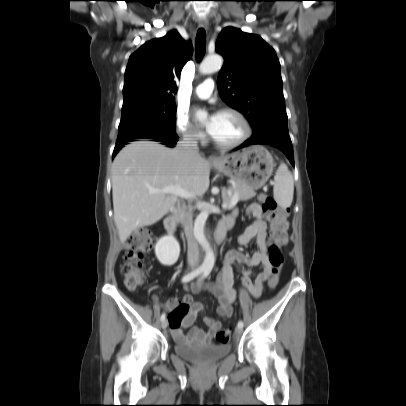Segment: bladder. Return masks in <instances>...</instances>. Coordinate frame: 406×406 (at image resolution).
I'll list each match as a JSON object with an SVG mask.
<instances>
[{"label":"bladder","instance_id":"31cf9c89","mask_svg":"<svg viewBox=\"0 0 406 406\" xmlns=\"http://www.w3.org/2000/svg\"><path fill=\"white\" fill-rule=\"evenodd\" d=\"M174 352L181 358L197 363L218 360L230 352L229 345L198 346L190 343L176 342Z\"/></svg>","mask_w":406,"mask_h":406}]
</instances>
